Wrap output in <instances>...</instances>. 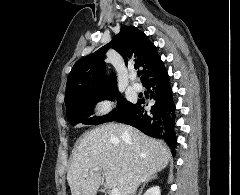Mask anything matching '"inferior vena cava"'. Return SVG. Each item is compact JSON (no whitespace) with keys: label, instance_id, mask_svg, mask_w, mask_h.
I'll return each mask as SVG.
<instances>
[{"label":"inferior vena cava","instance_id":"1","mask_svg":"<svg viewBox=\"0 0 240 195\" xmlns=\"http://www.w3.org/2000/svg\"><path fill=\"white\" fill-rule=\"evenodd\" d=\"M138 179H139L138 175H135L134 183H133L132 189H131V195H134V193H135V191H136V189H137V187H138V185L140 183V181H138Z\"/></svg>","mask_w":240,"mask_h":195}]
</instances>
